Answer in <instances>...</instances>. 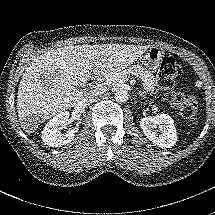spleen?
Returning a JSON list of instances; mask_svg holds the SVG:
<instances>
[{
    "label": "spleen",
    "mask_w": 215,
    "mask_h": 215,
    "mask_svg": "<svg viewBox=\"0 0 215 215\" xmlns=\"http://www.w3.org/2000/svg\"><path fill=\"white\" fill-rule=\"evenodd\" d=\"M189 122H190V124L193 126V127H197L198 126V124H199V121H198V119L195 117V116H191L190 117V119H189Z\"/></svg>",
    "instance_id": "obj_1"
}]
</instances>
